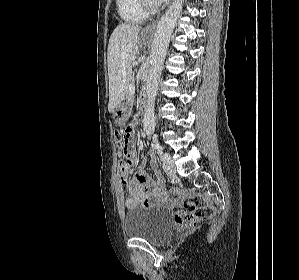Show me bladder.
<instances>
[{"mask_svg":"<svg viewBox=\"0 0 299 280\" xmlns=\"http://www.w3.org/2000/svg\"><path fill=\"white\" fill-rule=\"evenodd\" d=\"M123 223L126 236L144 239L154 245L165 243L174 230L171 213L157 206L132 209L124 215Z\"/></svg>","mask_w":299,"mask_h":280,"instance_id":"bladder-1","label":"bladder"}]
</instances>
